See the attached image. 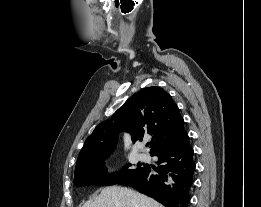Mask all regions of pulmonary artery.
<instances>
[{
  "mask_svg": "<svg viewBox=\"0 0 261 207\" xmlns=\"http://www.w3.org/2000/svg\"><path fill=\"white\" fill-rule=\"evenodd\" d=\"M139 158H140L141 160H143V161H146V160L149 159L148 155H146V154H144V153L140 154V155H139Z\"/></svg>",
  "mask_w": 261,
  "mask_h": 207,
  "instance_id": "obj_1",
  "label": "pulmonary artery"
}]
</instances>
